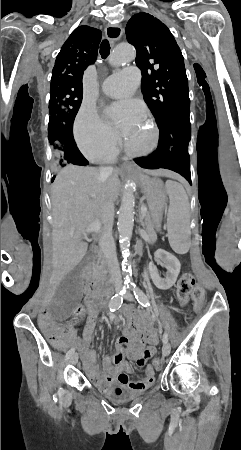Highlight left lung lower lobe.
I'll return each mask as SVG.
<instances>
[{
  "instance_id": "0a47b994",
  "label": "left lung lower lobe",
  "mask_w": 241,
  "mask_h": 450,
  "mask_svg": "<svg viewBox=\"0 0 241 450\" xmlns=\"http://www.w3.org/2000/svg\"><path fill=\"white\" fill-rule=\"evenodd\" d=\"M190 105L182 106L158 123V148L148 157L135 159L142 168H165L181 174L191 184L188 142L191 136Z\"/></svg>"
}]
</instances>
